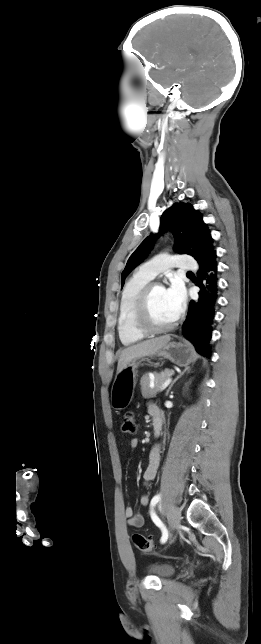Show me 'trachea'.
<instances>
[{"label": "trachea", "mask_w": 261, "mask_h": 644, "mask_svg": "<svg viewBox=\"0 0 261 644\" xmlns=\"http://www.w3.org/2000/svg\"><path fill=\"white\" fill-rule=\"evenodd\" d=\"M187 274H193L192 272H187Z\"/></svg>", "instance_id": "obj_1"}]
</instances>
